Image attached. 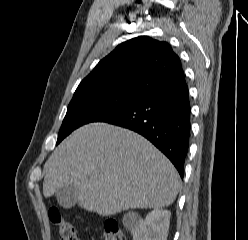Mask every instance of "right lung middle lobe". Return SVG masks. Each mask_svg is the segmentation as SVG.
I'll use <instances>...</instances> for the list:
<instances>
[{
	"mask_svg": "<svg viewBox=\"0 0 248 240\" xmlns=\"http://www.w3.org/2000/svg\"><path fill=\"white\" fill-rule=\"evenodd\" d=\"M140 98L111 88L77 89L68 106L57 144L76 128L100 121Z\"/></svg>",
	"mask_w": 248,
	"mask_h": 240,
	"instance_id": "1",
	"label": "right lung middle lobe"
}]
</instances>
